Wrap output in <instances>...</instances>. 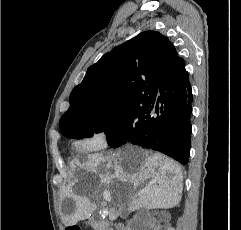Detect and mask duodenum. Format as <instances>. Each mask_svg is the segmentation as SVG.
I'll return each instance as SVG.
<instances>
[{"label": "duodenum", "mask_w": 241, "mask_h": 230, "mask_svg": "<svg viewBox=\"0 0 241 230\" xmlns=\"http://www.w3.org/2000/svg\"><path fill=\"white\" fill-rule=\"evenodd\" d=\"M105 225L103 224V223H98V222H93L92 223V227H98V228H100V227H104ZM105 230V229H104Z\"/></svg>", "instance_id": "1"}]
</instances>
